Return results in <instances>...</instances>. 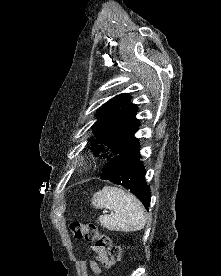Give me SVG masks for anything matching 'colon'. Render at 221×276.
I'll return each mask as SVG.
<instances>
[{"instance_id":"1","label":"colon","mask_w":221,"mask_h":276,"mask_svg":"<svg viewBox=\"0 0 221 276\" xmlns=\"http://www.w3.org/2000/svg\"><path fill=\"white\" fill-rule=\"evenodd\" d=\"M70 231L75 239L93 242L95 247L106 251L109 256L108 267L120 261L121 247L114 244L107 235L100 233L93 222L74 220L70 224Z\"/></svg>"}]
</instances>
